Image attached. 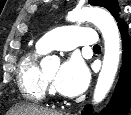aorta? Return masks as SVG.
Returning <instances> with one entry per match:
<instances>
[{"label": "aorta", "mask_w": 131, "mask_h": 115, "mask_svg": "<svg viewBox=\"0 0 131 115\" xmlns=\"http://www.w3.org/2000/svg\"><path fill=\"white\" fill-rule=\"evenodd\" d=\"M67 20L71 22L92 21L102 33L105 52L93 95V101L99 103L109 92L117 73L121 53L118 27L110 13L94 7L75 9L68 14ZM50 58L46 57L45 60Z\"/></svg>", "instance_id": "aorta-1"}]
</instances>
